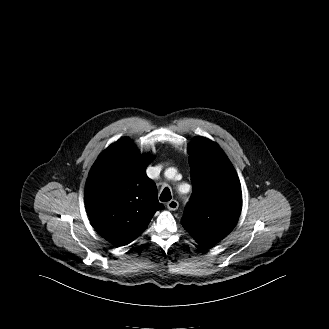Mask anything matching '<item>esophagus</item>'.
Listing matches in <instances>:
<instances>
[{"label": "esophagus", "mask_w": 329, "mask_h": 329, "mask_svg": "<svg viewBox=\"0 0 329 329\" xmlns=\"http://www.w3.org/2000/svg\"><path fill=\"white\" fill-rule=\"evenodd\" d=\"M178 207H179V203L176 200H171L167 203V208L170 211H175L178 209Z\"/></svg>", "instance_id": "obj_1"}]
</instances>
